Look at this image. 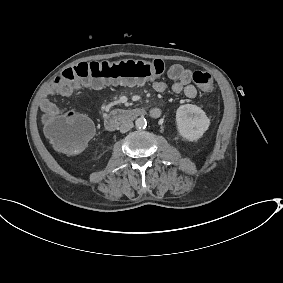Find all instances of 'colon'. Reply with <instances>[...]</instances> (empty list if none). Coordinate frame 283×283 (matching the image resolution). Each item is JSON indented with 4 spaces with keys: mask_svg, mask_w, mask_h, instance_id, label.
Instances as JSON below:
<instances>
[{
    "mask_svg": "<svg viewBox=\"0 0 283 283\" xmlns=\"http://www.w3.org/2000/svg\"><path fill=\"white\" fill-rule=\"evenodd\" d=\"M166 65L161 60H118L80 63L64 70L58 81L71 85H88L101 88L110 83L135 85L161 76ZM193 81L204 92L214 90V80L209 73L196 71ZM44 126L54 146L66 153L80 152L93 134V125L84 115L68 111L62 115H46Z\"/></svg>",
    "mask_w": 283,
    "mask_h": 283,
    "instance_id": "5ec220e1",
    "label": "colon"
}]
</instances>
